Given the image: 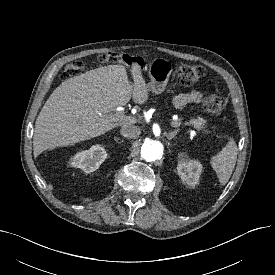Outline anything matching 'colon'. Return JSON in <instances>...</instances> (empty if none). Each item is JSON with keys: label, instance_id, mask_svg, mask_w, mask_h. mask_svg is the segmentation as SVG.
I'll use <instances>...</instances> for the list:
<instances>
[{"label": "colon", "instance_id": "obj_1", "mask_svg": "<svg viewBox=\"0 0 275 275\" xmlns=\"http://www.w3.org/2000/svg\"><path fill=\"white\" fill-rule=\"evenodd\" d=\"M135 60L134 57L120 53V52H108L99 56L98 61L100 63H124L130 65ZM82 64L79 61H74L68 64L63 73V78H68L80 73ZM176 76L183 84H191L204 76L205 70L200 65L193 64H181L175 69ZM204 109L213 115L221 114L223 110V101L220 96L214 93H208L203 99Z\"/></svg>", "mask_w": 275, "mask_h": 275}]
</instances>
